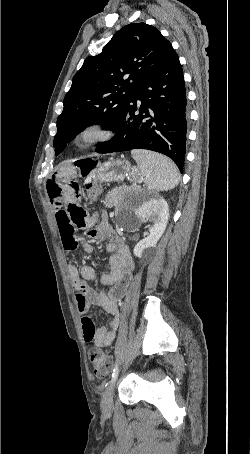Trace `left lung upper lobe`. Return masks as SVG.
<instances>
[{"instance_id":"obj_1","label":"left lung upper lobe","mask_w":250,"mask_h":454,"mask_svg":"<svg viewBox=\"0 0 250 454\" xmlns=\"http://www.w3.org/2000/svg\"><path fill=\"white\" fill-rule=\"evenodd\" d=\"M173 51L157 28L131 23L99 55L87 57L73 77L57 119L55 154L88 126L99 123L114 130L137 89Z\"/></svg>"}]
</instances>
